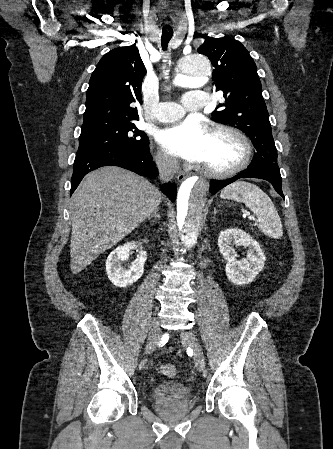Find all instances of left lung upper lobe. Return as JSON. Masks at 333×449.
Returning a JSON list of instances; mask_svg holds the SVG:
<instances>
[{
    "label": "left lung upper lobe",
    "instance_id": "left-lung-upper-lobe-1",
    "mask_svg": "<svg viewBox=\"0 0 333 449\" xmlns=\"http://www.w3.org/2000/svg\"><path fill=\"white\" fill-rule=\"evenodd\" d=\"M198 52L206 55L212 65L213 85L223 91L225 103L212 117L240 129L251 139L256 153L249 167L279 169L277 149L257 67L247 49L232 38L206 36Z\"/></svg>",
    "mask_w": 333,
    "mask_h": 449
}]
</instances>
